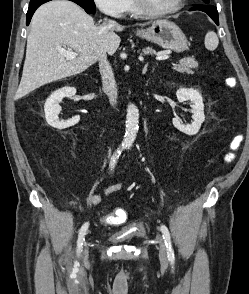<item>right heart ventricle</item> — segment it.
Returning a JSON list of instances; mask_svg holds the SVG:
<instances>
[{
  "label": "right heart ventricle",
  "instance_id": "e07e8e85",
  "mask_svg": "<svg viewBox=\"0 0 249 294\" xmlns=\"http://www.w3.org/2000/svg\"><path fill=\"white\" fill-rule=\"evenodd\" d=\"M126 12L130 13V14H139V12L137 11L134 1L133 0H128L127 1V8H126Z\"/></svg>",
  "mask_w": 249,
  "mask_h": 294
}]
</instances>
